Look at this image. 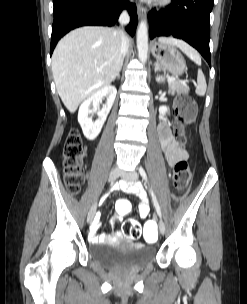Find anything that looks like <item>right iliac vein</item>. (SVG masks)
Listing matches in <instances>:
<instances>
[{"mask_svg":"<svg viewBox=\"0 0 247 304\" xmlns=\"http://www.w3.org/2000/svg\"><path fill=\"white\" fill-rule=\"evenodd\" d=\"M121 174V170L119 168H114L111 170L110 174H109V182H112L114 180H116ZM96 209H97V203H94L89 212H88V216H87V222L88 223H91L94 216H95V213H96Z\"/></svg>","mask_w":247,"mask_h":304,"instance_id":"right-iliac-vein-1","label":"right iliac vein"}]
</instances>
